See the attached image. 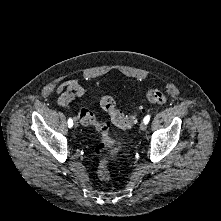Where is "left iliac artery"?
<instances>
[{"instance_id":"left-iliac-artery-1","label":"left iliac artery","mask_w":221,"mask_h":221,"mask_svg":"<svg viewBox=\"0 0 221 221\" xmlns=\"http://www.w3.org/2000/svg\"><path fill=\"white\" fill-rule=\"evenodd\" d=\"M149 120H150V115H147V116H145V118H144V123H148L149 122Z\"/></svg>"}]
</instances>
